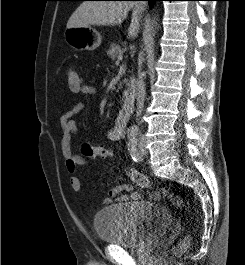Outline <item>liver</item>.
<instances>
[{
  "label": "liver",
  "mask_w": 245,
  "mask_h": 265,
  "mask_svg": "<svg viewBox=\"0 0 245 265\" xmlns=\"http://www.w3.org/2000/svg\"><path fill=\"white\" fill-rule=\"evenodd\" d=\"M145 3L129 1H85L71 15L67 29L76 27L115 26L121 24L133 9L128 29L129 37H136L140 27L141 12Z\"/></svg>",
  "instance_id": "obj_1"
}]
</instances>
